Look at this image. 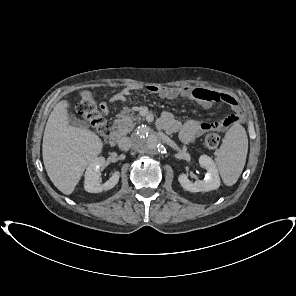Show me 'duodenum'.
<instances>
[{
  "label": "duodenum",
  "mask_w": 296,
  "mask_h": 296,
  "mask_svg": "<svg viewBox=\"0 0 296 296\" xmlns=\"http://www.w3.org/2000/svg\"><path fill=\"white\" fill-rule=\"evenodd\" d=\"M121 139V132L118 128L112 129L109 137V142L112 146H115L119 143Z\"/></svg>",
  "instance_id": "1"
}]
</instances>
